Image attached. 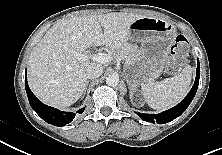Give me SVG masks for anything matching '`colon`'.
Segmentation results:
<instances>
[{"mask_svg": "<svg viewBox=\"0 0 222 155\" xmlns=\"http://www.w3.org/2000/svg\"><path fill=\"white\" fill-rule=\"evenodd\" d=\"M170 52L171 57L168 61L167 69L170 72H177L190 54L187 39L182 35H178L171 46Z\"/></svg>", "mask_w": 222, "mask_h": 155, "instance_id": "1", "label": "colon"}]
</instances>
